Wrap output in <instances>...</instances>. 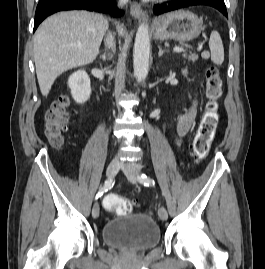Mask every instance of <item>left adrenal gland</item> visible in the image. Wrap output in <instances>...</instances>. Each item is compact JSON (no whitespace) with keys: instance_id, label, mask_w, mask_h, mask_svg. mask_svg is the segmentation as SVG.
Here are the masks:
<instances>
[{"instance_id":"left-adrenal-gland-1","label":"left adrenal gland","mask_w":265,"mask_h":269,"mask_svg":"<svg viewBox=\"0 0 265 269\" xmlns=\"http://www.w3.org/2000/svg\"><path fill=\"white\" fill-rule=\"evenodd\" d=\"M159 48V52H158V56L161 57L165 52H168L167 50H163L160 46H158Z\"/></svg>"}]
</instances>
